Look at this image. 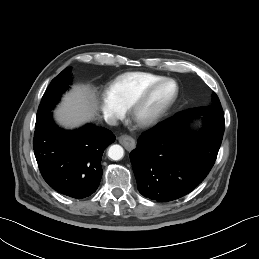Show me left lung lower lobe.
Instances as JSON below:
<instances>
[{
    "mask_svg": "<svg viewBox=\"0 0 259 259\" xmlns=\"http://www.w3.org/2000/svg\"><path fill=\"white\" fill-rule=\"evenodd\" d=\"M195 115L202 114L168 119L139 137L130 160L144 197L159 202L176 200L195 189L210 172L223 139L224 116L203 115L206 125L195 136L183 128Z\"/></svg>",
    "mask_w": 259,
    "mask_h": 259,
    "instance_id": "1",
    "label": "left lung lower lobe"
}]
</instances>
